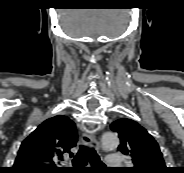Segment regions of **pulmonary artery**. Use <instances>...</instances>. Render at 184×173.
I'll return each instance as SVG.
<instances>
[{
  "label": "pulmonary artery",
  "mask_w": 184,
  "mask_h": 173,
  "mask_svg": "<svg viewBox=\"0 0 184 173\" xmlns=\"http://www.w3.org/2000/svg\"><path fill=\"white\" fill-rule=\"evenodd\" d=\"M122 155L119 153L109 154L106 157V165L111 168H119L122 166Z\"/></svg>",
  "instance_id": "e3ab8cb5"
}]
</instances>
